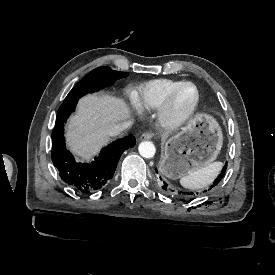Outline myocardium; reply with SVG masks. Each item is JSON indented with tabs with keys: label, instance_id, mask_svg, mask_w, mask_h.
Returning a JSON list of instances; mask_svg holds the SVG:
<instances>
[{
	"label": "myocardium",
	"instance_id": "f54148a6",
	"mask_svg": "<svg viewBox=\"0 0 275 275\" xmlns=\"http://www.w3.org/2000/svg\"><path fill=\"white\" fill-rule=\"evenodd\" d=\"M184 86H191L194 89L195 97L190 106L183 111L176 110V98L179 90ZM200 103V92L198 87L190 81L177 83L170 91L166 101L160 107L158 121L161 127L167 130H176L184 126L193 116Z\"/></svg>",
	"mask_w": 275,
	"mask_h": 275
}]
</instances>
